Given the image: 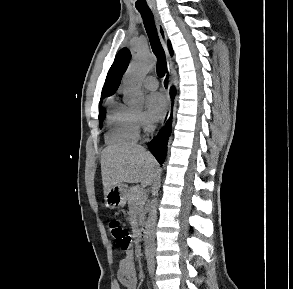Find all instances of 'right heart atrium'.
Returning a JSON list of instances; mask_svg holds the SVG:
<instances>
[{
	"label": "right heart atrium",
	"instance_id": "right-heart-atrium-1",
	"mask_svg": "<svg viewBox=\"0 0 293 289\" xmlns=\"http://www.w3.org/2000/svg\"><path fill=\"white\" fill-rule=\"evenodd\" d=\"M135 118L140 130L148 132L151 129V123L143 113H135Z\"/></svg>",
	"mask_w": 293,
	"mask_h": 289
}]
</instances>
